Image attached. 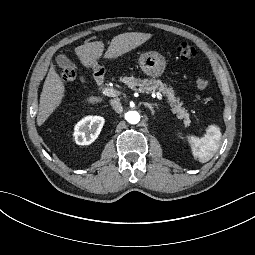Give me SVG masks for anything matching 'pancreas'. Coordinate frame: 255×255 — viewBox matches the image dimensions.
<instances>
[{"instance_id": "obj_1", "label": "pancreas", "mask_w": 255, "mask_h": 255, "mask_svg": "<svg viewBox=\"0 0 255 255\" xmlns=\"http://www.w3.org/2000/svg\"><path fill=\"white\" fill-rule=\"evenodd\" d=\"M120 81L127 85L130 89L139 93H154L159 90L167 96L172 112L177 113L179 119H183L185 125L190 124L189 114L187 110L182 107L183 102H180V98H176L172 87H167L161 80L156 79H140L133 76L120 77Z\"/></svg>"}]
</instances>
